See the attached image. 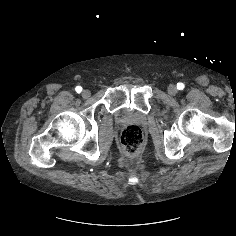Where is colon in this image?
<instances>
[{
  "label": "colon",
  "mask_w": 236,
  "mask_h": 236,
  "mask_svg": "<svg viewBox=\"0 0 236 236\" xmlns=\"http://www.w3.org/2000/svg\"><path fill=\"white\" fill-rule=\"evenodd\" d=\"M144 143L143 131L136 125L127 126L121 134V144L127 154L137 153Z\"/></svg>",
  "instance_id": "obj_1"
}]
</instances>
